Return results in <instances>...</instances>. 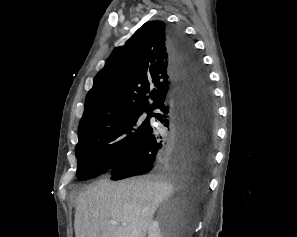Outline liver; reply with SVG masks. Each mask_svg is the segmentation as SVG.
I'll use <instances>...</instances> for the list:
<instances>
[{"label": "liver", "mask_w": 297, "mask_h": 237, "mask_svg": "<svg viewBox=\"0 0 297 237\" xmlns=\"http://www.w3.org/2000/svg\"><path fill=\"white\" fill-rule=\"evenodd\" d=\"M191 183L190 176L174 174L168 178L145 176L119 182L100 180L77 197L75 235L146 237L159 204L173 193L175 186L184 188Z\"/></svg>", "instance_id": "obj_1"}]
</instances>
